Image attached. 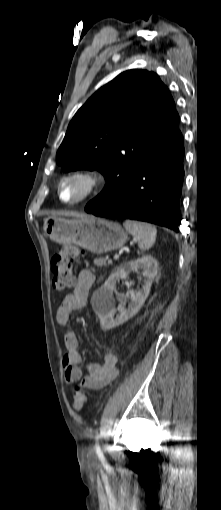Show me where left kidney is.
<instances>
[{"label": "left kidney", "mask_w": 221, "mask_h": 510, "mask_svg": "<svg viewBox=\"0 0 221 510\" xmlns=\"http://www.w3.org/2000/svg\"><path fill=\"white\" fill-rule=\"evenodd\" d=\"M142 270L145 276L143 288L138 291L128 290L126 294L119 293L117 299L120 302L118 308H115V299L113 292L116 291V283L120 280H126L128 274L134 270ZM158 261L151 255H146L134 261L125 263L113 272L104 285L94 292L91 303L95 314L100 319V325L103 330H109L117 327L130 318L134 317L143 306L146 298L149 295L154 277L157 275ZM133 282L130 283L132 285ZM130 300L128 308H125L124 303ZM116 318L114 315L116 312Z\"/></svg>", "instance_id": "5707ae66"}]
</instances>
